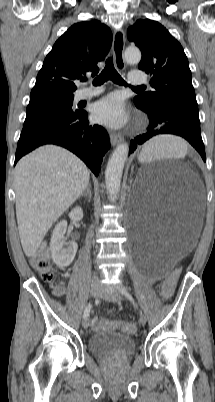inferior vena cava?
Segmentation results:
<instances>
[{"label": "inferior vena cava", "mask_w": 215, "mask_h": 402, "mask_svg": "<svg viewBox=\"0 0 215 402\" xmlns=\"http://www.w3.org/2000/svg\"><path fill=\"white\" fill-rule=\"evenodd\" d=\"M97 280V277L94 275V277H93V281H96Z\"/></svg>", "instance_id": "602c4592"}]
</instances>
